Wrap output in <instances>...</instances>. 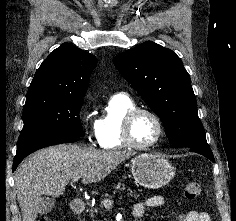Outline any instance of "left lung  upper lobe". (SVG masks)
Returning <instances> with one entry per match:
<instances>
[{"label":"left lung upper lobe","instance_id":"obj_1","mask_svg":"<svg viewBox=\"0 0 236 221\" xmlns=\"http://www.w3.org/2000/svg\"><path fill=\"white\" fill-rule=\"evenodd\" d=\"M114 64L163 121L172 145H208L190 76L175 52L146 41L116 56Z\"/></svg>","mask_w":236,"mask_h":221}]
</instances>
